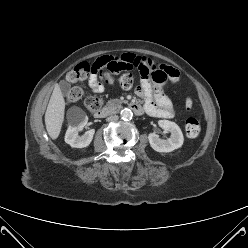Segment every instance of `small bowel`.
Masks as SVG:
<instances>
[{"label": "small bowel", "mask_w": 248, "mask_h": 248, "mask_svg": "<svg viewBox=\"0 0 248 248\" xmlns=\"http://www.w3.org/2000/svg\"><path fill=\"white\" fill-rule=\"evenodd\" d=\"M102 64L111 66L114 70H139L147 73H154L158 79L169 78L173 83L179 82V73L173 67L160 64L146 56H139L131 52H125L115 56H104L99 59ZM152 86L150 78H144L136 89L138 96L144 99V111L154 117L171 118L174 115V108L171 100L163 91L162 82H156ZM88 85L95 93H102L105 90L104 84L98 77L92 75L88 79ZM143 109V108H142Z\"/></svg>", "instance_id": "small-bowel-1"}]
</instances>
